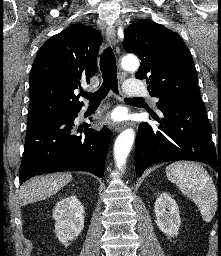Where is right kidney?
Instances as JSON below:
<instances>
[{"label": "right kidney", "mask_w": 221, "mask_h": 256, "mask_svg": "<svg viewBox=\"0 0 221 256\" xmlns=\"http://www.w3.org/2000/svg\"><path fill=\"white\" fill-rule=\"evenodd\" d=\"M84 208L76 196L61 199L55 207L56 236L65 246L76 239L84 228Z\"/></svg>", "instance_id": "right-kidney-1"}]
</instances>
